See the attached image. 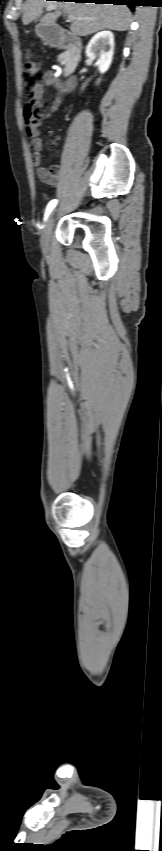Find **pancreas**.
Wrapping results in <instances>:
<instances>
[{
	"mask_svg": "<svg viewBox=\"0 0 162 851\" xmlns=\"http://www.w3.org/2000/svg\"><path fill=\"white\" fill-rule=\"evenodd\" d=\"M58 62H60L61 65H64L66 63V57L65 56L59 57Z\"/></svg>",
	"mask_w": 162,
	"mask_h": 851,
	"instance_id": "cf45deb5",
	"label": "pancreas"
}]
</instances>
